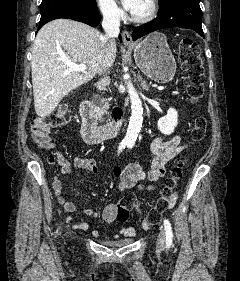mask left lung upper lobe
Masks as SVG:
<instances>
[{
  "mask_svg": "<svg viewBox=\"0 0 240 281\" xmlns=\"http://www.w3.org/2000/svg\"><path fill=\"white\" fill-rule=\"evenodd\" d=\"M167 0H159V6L162 5L164 2H166Z\"/></svg>",
  "mask_w": 240,
  "mask_h": 281,
  "instance_id": "5c2ea615",
  "label": "left lung upper lobe"
}]
</instances>
